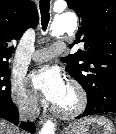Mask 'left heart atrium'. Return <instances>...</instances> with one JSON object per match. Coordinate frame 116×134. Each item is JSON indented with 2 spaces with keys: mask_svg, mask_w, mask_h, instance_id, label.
I'll use <instances>...</instances> for the list:
<instances>
[{
  "mask_svg": "<svg viewBox=\"0 0 116 134\" xmlns=\"http://www.w3.org/2000/svg\"><path fill=\"white\" fill-rule=\"evenodd\" d=\"M31 85L36 93L55 105L61 103L68 90L62 74L52 66L42 67L33 72Z\"/></svg>",
  "mask_w": 116,
  "mask_h": 134,
  "instance_id": "obj_1",
  "label": "left heart atrium"
}]
</instances>
